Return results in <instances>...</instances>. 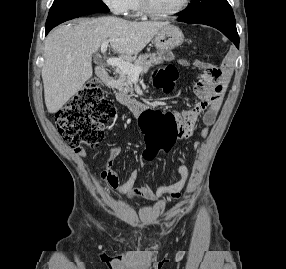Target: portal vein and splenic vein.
<instances>
[{"mask_svg":"<svg viewBox=\"0 0 286 269\" xmlns=\"http://www.w3.org/2000/svg\"><path fill=\"white\" fill-rule=\"evenodd\" d=\"M109 42L111 40H105L101 44V52L105 53L108 47ZM106 63L112 67H117L123 72L127 73L132 77L133 81H137L139 78V74L141 73V69L139 67H135L133 64L120 59V58H109Z\"/></svg>","mask_w":286,"mask_h":269,"instance_id":"portal-vein-and-splenic-vein-1","label":"portal vein and splenic vein"}]
</instances>
